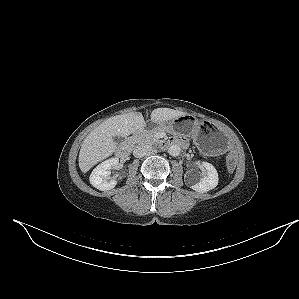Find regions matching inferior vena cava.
Here are the masks:
<instances>
[{"mask_svg":"<svg viewBox=\"0 0 299 299\" xmlns=\"http://www.w3.org/2000/svg\"><path fill=\"white\" fill-rule=\"evenodd\" d=\"M151 151H153V149L150 145H147V144L138 145L135 147V149L133 151V155L137 158H140V157L145 156L146 154H148Z\"/></svg>","mask_w":299,"mask_h":299,"instance_id":"602c4592","label":"inferior vena cava"}]
</instances>
